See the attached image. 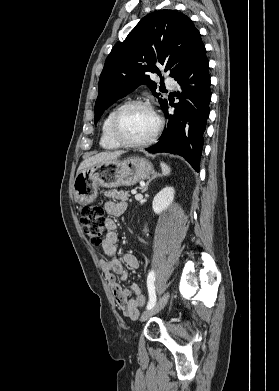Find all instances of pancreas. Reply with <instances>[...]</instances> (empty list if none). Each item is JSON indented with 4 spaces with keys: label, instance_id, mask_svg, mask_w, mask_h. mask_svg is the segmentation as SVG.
<instances>
[{
    "label": "pancreas",
    "instance_id": "obj_1",
    "mask_svg": "<svg viewBox=\"0 0 279 391\" xmlns=\"http://www.w3.org/2000/svg\"><path fill=\"white\" fill-rule=\"evenodd\" d=\"M104 196L107 198H111L113 200H121V201H127L128 198L130 197V194L127 191H104L103 192Z\"/></svg>",
    "mask_w": 279,
    "mask_h": 391
}]
</instances>
